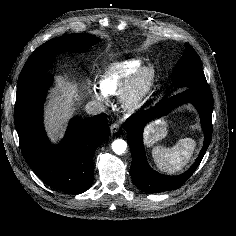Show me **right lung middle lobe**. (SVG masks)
<instances>
[{
	"mask_svg": "<svg viewBox=\"0 0 236 236\" xmlns=\"http://www.w3.org/2000/svg\"><path fill=\"white\" fill-rule=\"evenodd\" d=\"M99 38L84 33L71 34L51 39L38 47L25 63L18 82L46 73L52 66L54 58L61 52H85L90 46L97 43Z\"/></svg>",
	"mask_w": 236,
	"mask_h": 236,
	"instance_id": "dd1d6c3e",
	"label": "right lung middle lobe"
}]
</instances>
